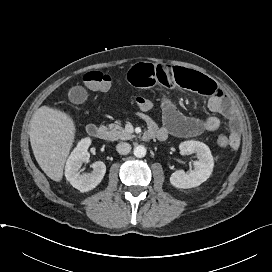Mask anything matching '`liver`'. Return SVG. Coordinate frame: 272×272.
Returning <instances> with one entry per match:
<instances>
[{
    "label": "liver",
    "instance_id": "6515ba94",
    "mask_svg": "<svg viewBox=\"0 0 272 272\" xmlns=\"http://www.w3.org/2000/svg\"><path fill=\"white\" fill-rule=\"evenodd\" d=\"M75 132L74 120L58 109L42 106L32 116L30 142L35 159L44 173L56 182L63 178Z\"/></svg>",
    "mask_w": 272,
    "mask_h": 272
}]
</instances>
